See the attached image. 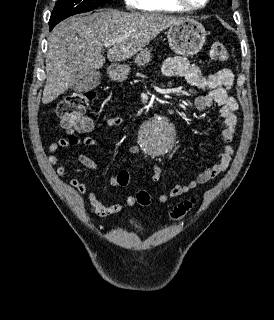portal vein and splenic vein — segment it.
<instances>
[{
  "mask_svg": "<svg viewBox=\"0 0 274 320\" xmlns=\"http://www.w3.org/2000/svg\"><path fill=\"white\" fill-rule=\"evenodd\" d=\"M114 42H107V44H104L105 48H111L113 46Z\"/></svg>",
  "mask_w": 274,
  "mask_h": 320,
  "instance_id": "obj_1",
  "label": "portal vein and splenic vein"
}]
</instances>
